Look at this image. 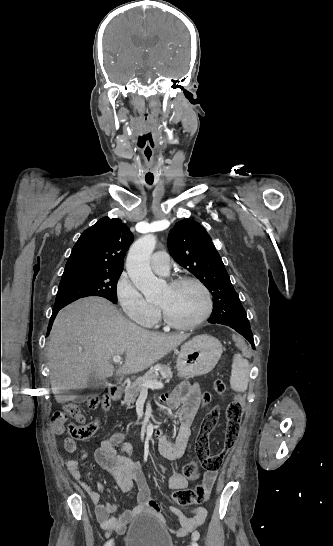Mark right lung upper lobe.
Returning <instances> with one entry per match:
<instances>
[{
  "label": "right lung upper lobe",
  "instance_id": "right-lung-upper-lobe-1",
  "mask_svg": "<svg viewBox=\"0 0 333 546\" xmlns=\"http://www.w3.org/2000/svg\"><path fill=\"white\" fill-rule=\"evenodd\" d=\"M133 234L118 218H101L74 245L63 275L98 270H123Z\"/></svg>",
  "mask_w": 333,
  "mask_h": 546
}]
</instances>
